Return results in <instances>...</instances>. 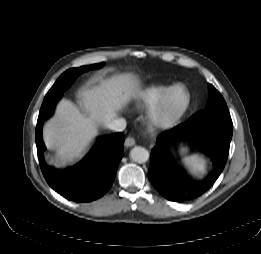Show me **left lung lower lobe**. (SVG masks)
<instances>
[{"mask_svg": "<svg viewBox=\"0 0 261 254\" xmlns=\"http://www.w3.org/2000/svg\"><path fill=\"white\" fill-rule=\"evenodd\" d=\"M232 121L201 120L184 124L162 132L156 139L157 145L150 155L148 177L156 190L166 199L175 202L194 200L215 183L227 161L232 139ZM187 137L211 157L214 170L203 181L190 180L169 153L171 143L178 137Z\"/></svg>", "mask_w": 261, "mask_h": 254, "instance_id": "0a47b994", "label": "left lung lower lobe"}]
</instances>
